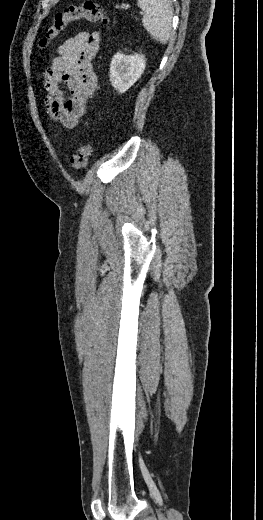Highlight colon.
<instances>
[{
  "label": "colon",
  "instance_id": "5ec220e1",
  "mask_svg": "<svg viewBox=\"0 0 263 520\" xmlns=\"http://www.w3.org/2000/svg\"><path fill=\"white\" fill-rule=\"evenodd\" d=\"M80 20L106 25L109 23V16L99 4L92 1H86L79 6H70L55 14L51 24L39 42L40 46L45 47L53 39L58 37L69 25ZM91 152L92 149L90 145H81L77 152L70 158V167L74 170L85 168L88 164Z\"/></svg>",
  "mask_w": 263,
  "mask_h": 520
}]
</instances>
